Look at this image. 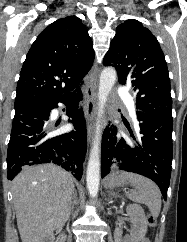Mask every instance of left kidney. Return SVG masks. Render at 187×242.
<instances>
[{"instance_id": "1", "label": "left kidney", "mask_w": 187, "mask_h": 242, "mask_svg": "<svg viewBox=\"0 0 187 242\" xmlns=\"http://www.w3.org/2000/svg\"><path fill=\"white\" fill-rule=\"evenodd\" d=\"M128 219L131 222L130 235L122 237V229H115V242H140L147 232V220L144 210L140 205L132 204L126 208Z\"/></svg>"}]
</instances>
